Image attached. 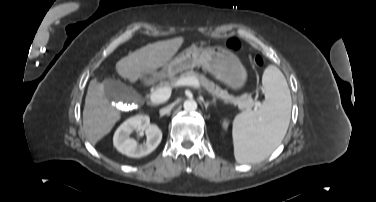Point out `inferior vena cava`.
<instances>
[{
	"label": "inferior vena cava",
	"instance_id": "1",
	"mask_svg": "<svg viewBox=\"0 0 376 202\" xmlns=\"http://www.w3.org/2000/svg\"><path fill=\"white\" fill-rule=\"evenodd\" d=\"M171 109H172V106L169 105L167 107L160 109L159 113H160L161 116H163V115L168 114L171 111Z\"/></svg>",
	"mask_w": 376,
	"mask_h": 202
}]
</instances>
